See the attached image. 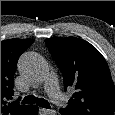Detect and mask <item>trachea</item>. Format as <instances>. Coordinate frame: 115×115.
I'll return each mask as SVG.
<instances>
[{
    "instance_id": "obj_1",
    "label": "trachea",
    "mask_w": 115,
    "mask_h": 115,
    "mask_svg": "<svg viewBox=\"0 0 115 115\" xmlns=\"http://www.w3.org/2000/svg\"><path fill=\"white\" fill-rule=\"evenodd\" d=\"M23 104H37L40 107L46 108V109H51V106L49 102L43 98H36L33 95L26 96L22 100Z\"/></svg>"
}]
</instances>
